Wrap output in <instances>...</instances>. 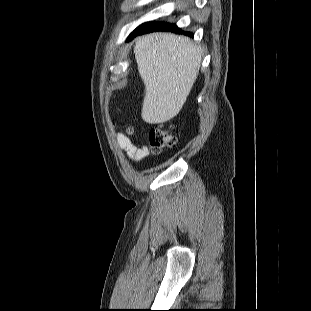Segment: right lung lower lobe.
Returning a JSON list of instances; mask_svg holds the SVG:
<instances>
[{
	"label": "right lung lower lobe",
	"instance_id": "1",
	"mask_svg": "<svg viewBox=\"0 0 311 311\" xmlns=\"http://www.w3.org/2000/svg\"><path fill=\"white\" fill-rule=\"evenodd\" d=\"M156 31H171V32L179 33V34L188 35L191 37L193 36L192 33L184 32V31L180 30L179 28H177L176 25H173V24H168V23H164V22H147V23H144V24L140 25L139 27H137L132 32V34L129 36V40H131L136 35L150 33V32H156Z\"/></svg>",
	"mask_w": 311,
	"mask_h": 311
}]
</instances>
